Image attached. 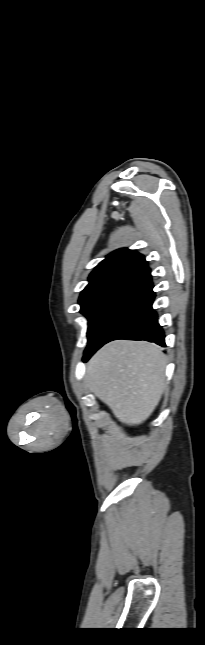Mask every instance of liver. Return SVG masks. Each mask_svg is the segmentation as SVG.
Segmentation results:
<instances>
[{
  "instance_id": "6515ba94",
  "label": "liver",
  "mask_w": 205,
  "mask_h": 645,
  "mask_svg": "<svg viewBox=\"0 0 205 645\" xmlns=\"http://www.w3.org/2000/svg\"><path fill=\"white\" fill-rule=\"evenodd\" d=\"M166 357L155 344L116 340L89 360L86 384L123 424L143 423L165 387Z\"/></svg>"
}]
</instances>
